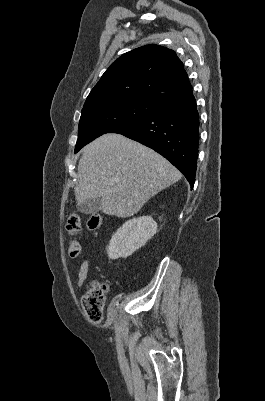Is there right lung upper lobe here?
<instances>
[{
  "label": "right lung upper lobe",
  "instance_id": "cb5924a9",
  "mask_svg": "<svg viewBox=\"0 0 265 401\" xmlns=\"http://www.w3.org/2000/svg\"><path fill=\"white\" fill-rule=\"evenodd\" d=\"M191 91L188 75L176 53L150 44L114 61L92 89L84 106L122 99L163 103Z\"/></svg>",
  "mask_w": 265,
  "mask_h": 401
}]
</instances>
